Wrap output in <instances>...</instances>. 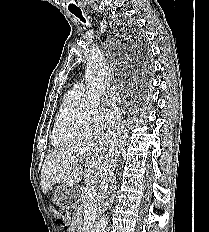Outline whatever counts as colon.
I'll return each instance as SVG.
<instances>
[{
    "mask_svg": "<svg viewBox=\"0 0 209 232\" xmlns=\"http://www.w3.org/2000/svg\"><path fill=\"white\" fill-rule=\"evenodd\" d=\"M59 220H60L61 224H63V225L69 223V221H70L69 212H67V211L61 212Z\"/></svg>",
    "mask_w": 209,
    "mask_h": 232,
    "instance_id": "1",
    "label": "colon"
}]
</instances>
